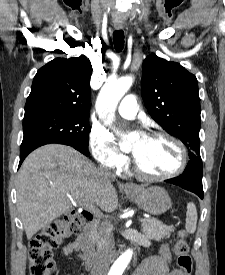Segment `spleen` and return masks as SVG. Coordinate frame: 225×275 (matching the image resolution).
Wrapping results in <instances>:
<instances>
[{
    "label": "spleen",
    "mask_w": 225,
    "mask_h": 275,
    "mask_svg": "<svg viewBox=\"0 0 225 275\" xmlns=\"http://www.w3.org/2000/svg\"><path fill=\"white\" fill-rule=\"evenodd\" d=\"M197 226V210L196 206L193 202L187 204V212H186V230L193 234L196 231Z\"/></svg>",
    "instance_id": "1"
}]
</instances>
